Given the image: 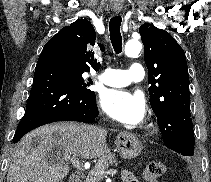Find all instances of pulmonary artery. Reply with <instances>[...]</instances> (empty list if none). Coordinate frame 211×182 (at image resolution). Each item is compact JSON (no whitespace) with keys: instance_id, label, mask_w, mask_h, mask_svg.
I'll return each instance as SVG.
<instances>
[{"instance_id":"e3ab8cb5","label":"pulmonary artery","mask_w":211,"mask_h":182,"mask_svg":"<svg viewBox=\"0 0 211 182\" xmlns=\"http://www.w3.org/2000/svg\"><path fill=\"white\" fill-rule=\"evenodd\" d=\"M145 75L144 68L139 63H134L128 70H117L108 68L98 78L99 80L114 87H123L131 82H140Z\"/></svg>"}]
</instances>
